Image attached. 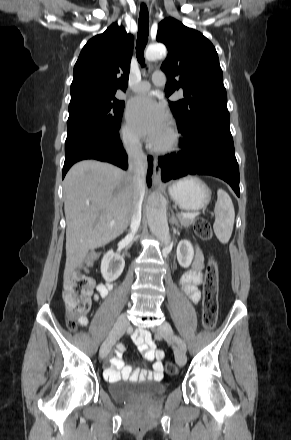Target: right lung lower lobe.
<instances>
[{"instance_id": "obj_1", "label": "right lung lower lobe", "mask_w": 291, "mask_h": 440, "mask_svg": "<svg viewBox=\"0 0 291 440\" xmlns=\"http://www.w3.org/2000/svg\"><path fill=\"white\" fill-rule=\"evenodd\" d=\"M119 128L101 130L89 126H73L67 129L65 141V162L62 178L69 168L84 159H96L109 162L127 169V155L119 138ZM153 163L148 157L147 184L150 186Z\"/></svg>"}]
</instances>
